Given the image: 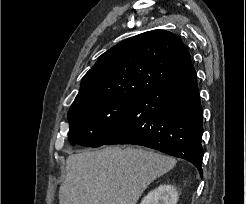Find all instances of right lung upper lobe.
<instances>
[{"label": "right lung upper lobe", "instance_id": "1", "mask_svg": "<svg viewBox=\"0 0 246 204\" xmlns=\"http://www.w3.org/2000/svg\"><path fill=\"white\" fill-rule=\"evenodd\" d=\"M190 66L191 57L177 35L148 31L102 54L83 77L72 105L105 96L142 94Z\"/></svg>", "mask_w": 246, "mask_h": 204}]
</instances>
